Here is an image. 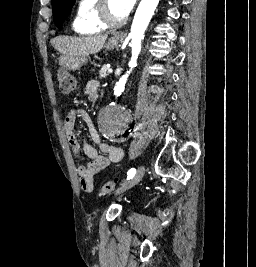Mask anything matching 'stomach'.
Segmentation results:
<instances>
[{
    "mask_svg": "<svg viewBox=\"0 0 256 267\" xmlns=\"http://www.w3.org/2000/svg\"><path fill=\"white\" fill-rule=\"evenodd\" d=\"M115 34H113V38H109L107 44H105L106 50H113V48L118 46L119 40L121 42L123 38L121 32H119L117 36H115ZM86 62H88V60L85 56H77V58H74L72 62H58V67H69L70 70H77V68H80V66H82V64H86Z\"/></svg>",
    "mask_w": 256,
    "mask_h": 267,
    "instance_id": "0dacf381",
    "label": "stomach"
}]
</instances>
